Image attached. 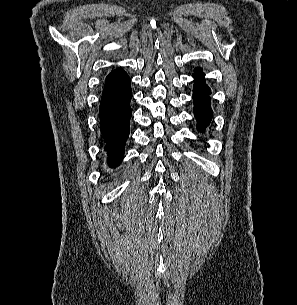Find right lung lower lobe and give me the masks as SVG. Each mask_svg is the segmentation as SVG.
Listing matches in <instances>:
<instances>
[{"label": "right lung lower lobe", "instance_id": "obj_1", "mask_svg": "<svg viewBox=\"0 0 297 305\" xmlns=\"http://www.w3.org/2000/svg\"><path fill=\"white\" fill-rule=\"evenodd\" d=\"M132 91L130 78L122 69H116L106 77L100 102V131L104 139V150L108 164L116 167L124 153L129 135Z\"/></svg>", "mask_w": 297, "mask_h": 305}]
</instances>
